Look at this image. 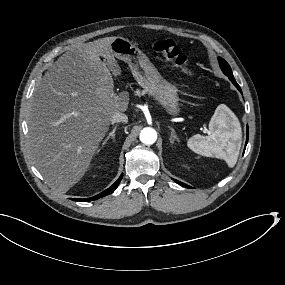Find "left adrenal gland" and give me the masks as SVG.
Masks as SVG:
<instances>
[{"mask_svg":"<svg viewBox=\"0 0 285 285\" xmlns=\"http://www.w3.org/2000/svg\"><path fill=\"white\" fill-rule=\"evenodd\" d=\"M168 128L171 130V136L169 138L170 142L174 143L175 139H177V141H179V139L177 138L175 130L171 126H168Z\"/></svg>","mask_w":285,"mask_h":285,"instance_id":"a2214340","label":"left adrenal gland"}]
</instances>
